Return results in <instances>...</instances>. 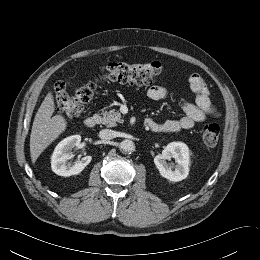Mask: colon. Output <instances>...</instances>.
<instances>
[{
    "instance_id": "obj_1",
    "label": "colon",
    "mask_w": 260,
    "mask_h": 260,
    "mask_svg": "<svg viewBox=\"0 0 260 260\" xmlns=\"http://www.w3.org/2000/svg\"><path fill=\"white\" fill-rule=\"evenodd\" d=\"M163 70V65L157 61L150 63H109L103 67L101 79L149 85L158 78ZM96 86L97 81H90L70 93L65 82H57L54 86L57 110L72 118L79 117L85 105L92 99ZM219 137L220 127L218 124H209L204 128L202 138L206 145H216Z\"/></svg>"
}]
</instances>
